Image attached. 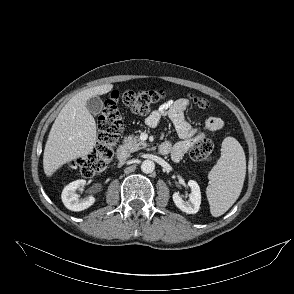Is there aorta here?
<instances>
[{"label":"aorta","instance_id":"aorta-1","mask_svg":"<svg viewBox=\"0 0 294 294\" xmlns=\"http://www.w3.org/2000/svg\"><path fill=\"white\" fill-rule=\"evenodd\" d=\"M155 169V164L152 160H144L141 164V170L143 173H152Z\"/></svg>","mask_w":294,"mask_h":294}]
</instances>
